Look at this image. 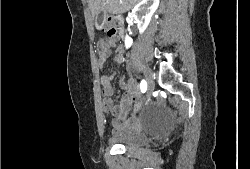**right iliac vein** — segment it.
<instances>
[{"mask_svg":"<svg viewBox=\"0 0 250 169\" xmlns=\"http://www.w3.org/2000/svg\"><path fill=\"white\" fill-rule=\"evenodd\" d=\"M143 71H144L146 82L148 84V89H149V94H150L154 88L153 75H152V72L148 70V68L146 67L144 68Z\"/></svg>","mask_w":250,"mask_h":169,"instance_id":"1","label":"right iliac vein"}]
</instances>
